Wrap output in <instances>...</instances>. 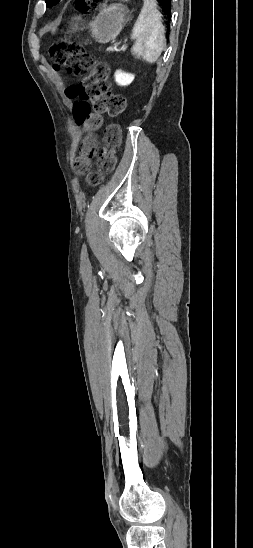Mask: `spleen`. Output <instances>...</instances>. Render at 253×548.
Listing matches in <instances>:
<instances>
[{
  "label": "spleen",
  "mask_w": 253,
  "mask_h": 548,
  "mask_svg": "<svg viewBox=\"0 0 253 548\" xmlns=\"http://www.w3.org/2000/svg\"><path fill=\"white\" fill-rule=\"evenodd\" d=\"M143 1L144 5L132 30L131 37L135 39L132 52L152 64L158 60L164 49L165 29L155 1Z\"/></svg>",
  "instance_id": "3e777b00"
}]
</instances>
